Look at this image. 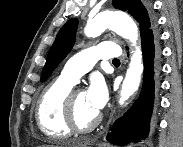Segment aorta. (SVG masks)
Listing matches in <instances>:
<instances>
[{"mask_svg": "<svg viewBox=\"0 0 183 147\" xmlns=\"http://www.w3.org/2000/svg\"><path fill=\"white\" fill-rule=\"evenodd\" d=\"M106 29L115 31L135 46L120 91L119 104L122 105L137 91L143 73L142 53L140 48L136 46L138 28L135 22L125 13L118 11L102 12L87 22L84 33L87 37H97Z\"/></svg>", "mask_w": 183, "mask_h": 147, "instance_id": "762f6f07", "label": "aorta"}]
</instances>
